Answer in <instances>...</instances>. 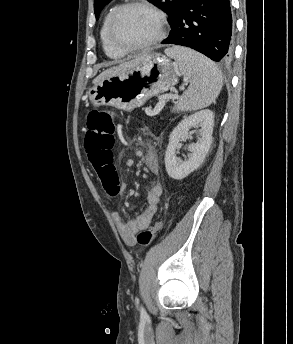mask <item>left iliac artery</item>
<instances>
[{
    "mask_svg": "<svg viewBox=\"0 0 293 344\" xmlns=\"http://www.w3.org/2000/svg\"><path fill=\"white\" fill-rule=\"evenodd\" d=\"M140 312H141V316L142 317H146L147 316V313H146V311H145V309L143 307H141Z\"/></svg>",
    "mask_w": 293,
    "mask_h": 344,
    "instance_id": "obj_1",
    "label": "left iliac artery"
}]
</instances>
